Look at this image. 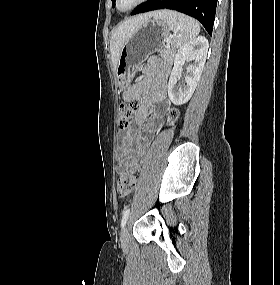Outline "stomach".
I'll use <instances>...</instances> for the list:
<instances>
[{
  "label": "stomach",
  "instance_id": "obj_1",
  "mask_svg": "<svg viewBox=\"0 0 280 285\" xmlns=\"http://www.w3.org/2000/svg\"><path fill=\"white\" fill-rule=\"evenodd\" d=\"M170 36V28L161 19L144 22L124 43L116 68V78L121 90L130 86L138 65L153 52L161 49Z\"/></svg>",
  "mask_w": 280,
  "mask_h": 285
}]
</instances>
